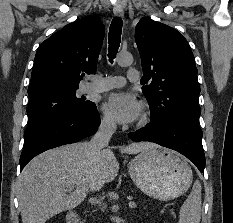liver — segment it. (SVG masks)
Segmentation results:
<instances>
[{
	"instance_id": "obj_1",
	"label": "liver",
	"mask_w": 233,
	"mask_h": 223,
	"mask_svg": "<svg viewBox=\"0 0 233 223\" xmlns=\"http://www.w3.org/2000/svg\"><path fill=\"white\" fill-rule=\"evenodd\" d=\"M156 143L123 145L121 153H140ZM103 163V165H101ZM120 165L113 151L94 157L89 141H78L43 151L24 167L18 179L22 223H45L60 211L80 205L95 185L117 177ZM74 187V189H72Z\"/></svg>"
}]
</instances>
